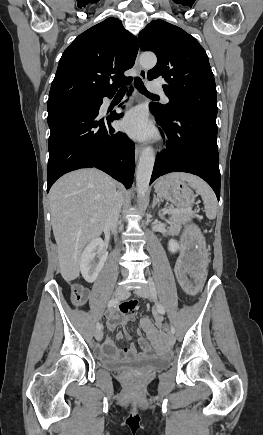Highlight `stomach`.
<instances>
[{"instance_id":"stomach-1","label":"stomach","mask_w":263,"mask_h":435,"mask_svg":"<svg viewBox=\"0 0 263 435\" xmlns=\"http://www.w3.org/2000/svg\"><path fill=\"white\" fill-rule=\"evenodd\" d=\"M155 192L162 198L175 204L186 206L194 202L195 195L190 187L182 181L171 178H161L155 185ZM181 241L184 249V260H179L175 272L180 288L184 294H199L200 288H205V262L208 260L207 239L204 233H199L198 224H182L180 226Z\"/></svg>"}]
</instances>
